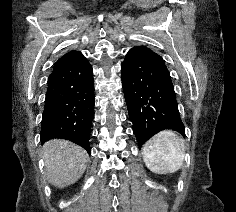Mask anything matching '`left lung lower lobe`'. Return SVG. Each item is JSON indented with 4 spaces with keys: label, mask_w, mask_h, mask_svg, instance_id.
<instances>
[{
    "label": "left lung lower lobe",
    "mask_w": 236,
    "mask_h": 212,
    "mask_svg": "<svg viewBox=\"0 0 236 212\" xmlns=\"http://www.w3.org/2000/svg\"><path fill=\"white\" fill-rule=\"evenodd\" d=\"M122 86L139 147L164 129L185 135L170 72L147 46L128 51L122 64Z\"/></svg>",
    "instance_id": "left-lung-lower-lobe-1"
}]
</instances>
